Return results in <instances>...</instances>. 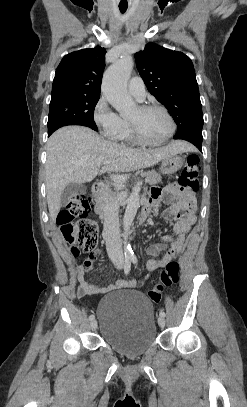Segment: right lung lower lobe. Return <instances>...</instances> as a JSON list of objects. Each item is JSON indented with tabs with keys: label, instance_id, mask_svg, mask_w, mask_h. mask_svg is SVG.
Returning <instances> with one entry per match:
<instances>
[{
	"label": "right lung lower lobe",
	"instance_id": "1",
	"mask_svg": "<svg viewBox=\"0 0 247 407\" xmlns=\"http://www.w3.org/2000/svg\"><path fill=\"white\" fill-rule=\"evenodd\" d=\"M54 131H50V132H48V136H50L52 133H53Z\"/></svg>",
	"mask_w": 247,
	"mask_h": 407
}]
</instances>
